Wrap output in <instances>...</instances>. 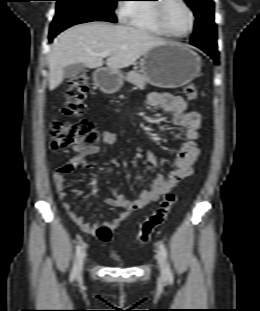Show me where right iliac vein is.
<instances>
[{
  "mask_svg": "<svg viewBox=\"0 0 260 311\" xmlns=\"http://www.w3.org/2000/svg\"><path fill=\"white\" fill-rule=\"evenodd\" d=\"M85 256H86L85 251H82V253L80 254L79 259H78L77 276H80L82 274Z\"/></svg>",
  "mask_w": 260,
  "mask_h": 311,
  "instance_id": "63e3f726",
  "label": "right iliac vein"
}]
</instances>
